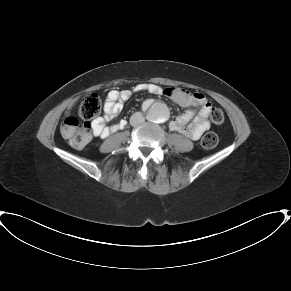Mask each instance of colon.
<instances>
[{"instance_id": "obj_1", "label": "colon", "mask_w": 291, "mask_h": 291, "mask_svg": "<svg viewBox=\"0 0 291 291\" xmlns=\"http://www.w3.org/2000/svg\"><path fill=\"white\" fill-rule=\"evenodd\" d=\"M102 110V96L91 94L86 97L79 106L78 118L68 117L61 124V134L75 148L85 147L91 140L92 123L99 117ZM211 120L215 124H221L224 121L223 111L215 107L211 111ZM218 143V137L215 133H207L201 141L203 148L209 150Z\"/></svg>"}]
</instances>
